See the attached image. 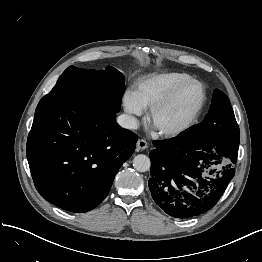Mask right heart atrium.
<instances>
[{
	"instance_id": "right-heart-atrium-1",
	"label": "right heart atrium",
	"mask_w": 262,
	"mask_h": 262,
	"mask_svg": "<svg viewBox=\"0 0 262 262\" xmlns=\"http://www.w3.org/2000/svg\"><path fill=\"white\" fill-rule=\"evenodd\" d=\"M123 106L130 116H139L143 112V108L139 105L134 94L129 91L123 96Z\"/></svg>"
}]
</instances>
